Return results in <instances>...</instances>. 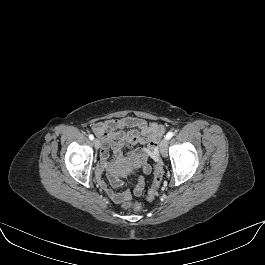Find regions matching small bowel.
Returning a JSON list of instances; mask_svg holds the SVG:
<instances>
[{"instance_id": "small-bowel-1", "label": "small bowel", "mask_w": 265, "mask_h": 265, "mask_svg": "<svg viewBox=\"0 0 265 265\" xmlns=\"http://www.w3.org/2000/svg\"><path fill=\"white\" fill-rule=\"evenodd\" d=\"M92 129L103 142L97 174L99 185L115 203L126 202L131 198L129 191L115 192L101 178V173L109 167V150H112L119 161L141 169L143 174L137 178L133 188V194L141 196L146 183L145 175L151 172L148 160L159 159L158 141L164 133V127L141 118L125 116L97 122ZM124 148H128V151L125 152ZM111 184L119 187L122 181L112 173Z\"/></svg>"}]
</instances>
